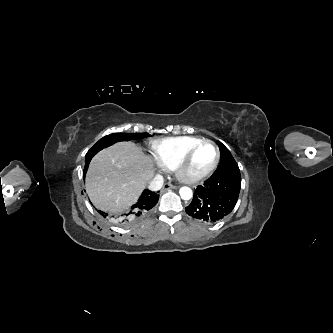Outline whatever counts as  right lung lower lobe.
Returning <instances> with one entry per match:
<instances>
[{
  "label": "right lung lower lobe",
  "mask_w": 333,
  "mask_h": 333,
  "mask_svg": "<svg viewBox=\"0 0 333 333\" xmlns=\"http://www.w3.org/2000/svg\"><path fill=\"white\" fill-rule=\"evenodd\" d=\"M94 155L95 154H90L87 152V154L85 156V167H84V174H83L84 178H85L89 163ZM158 199H159V195L157 193L152 192L147 189L144 190V192L142 193L138 202L131 207V210L128 213L125 214L126 217L120 219V222L121 223L129 222L132 218L145 214L147 211H149L151 208H153L157 204ZM98 212L104 218L108 217L107 213L99 211V210H98Z\"/></svg>",
  "instance_id": "obj_1"
}]
</instances>
